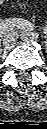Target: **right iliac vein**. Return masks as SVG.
Instances as JSON below:
<instances>
[{
    "mask_svg": "<svg viewBox=\"0 0 47 129\" xmlns=\"http://www.w3.org/2000/svg\"><path fill=\"white\" fill-rule=\"evenodd\" d=\"M16 42V35L14 33L8 34L3 40V46L6 49H10Z\"/></svg>",
    "mask_w": 47,
    "mask_h": 129,
    "instance_id": "right-iliac-vein-1",
    "label": "right iliac vein"
}]
</instances>
